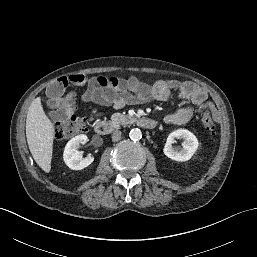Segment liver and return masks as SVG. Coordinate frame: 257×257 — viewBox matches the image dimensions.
<instances>
[{
	"mask_svg": "<svg viewBox=\"0 0 257 257\" xmlns=\"http://www.w3.org/2000/svg\"><path fill=\"white\" fill-rule=\"evenodd\" d=\"M54 134V125L43 110L41 98L37 97L28 109L26 137L35 162L46 173L51 170Z\"/></svg>",
	"mask_w": 257,
	"mask_h": 257,
	"instance_id": "6515ba94",
	"label": "liver"
}]
</instances>
